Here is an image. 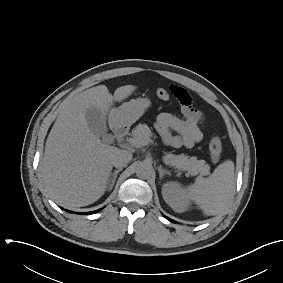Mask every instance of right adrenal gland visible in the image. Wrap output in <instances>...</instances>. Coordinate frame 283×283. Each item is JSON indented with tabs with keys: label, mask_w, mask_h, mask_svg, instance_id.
Instances as JSON below:
<instances>
[{
	"label": "right adrenal gland",
	"mask_w": 283,
	"mask_h": 283,
	"mask_svg": "<svg viewBox=\"0 0 283 283\" xmlns=\"http://www.w3.org/2000/svg\"><path fill=\"white\" fill-rule=\"evenodd\" d=\"M121 171H122V169L120 168V169L115 170L113 173H111L109 175L108 182H107L109 190H112V188H113V186L115 184L117 175Z\"/></svg>",
	"instance_id": "obj_1"
}]
</instances>
